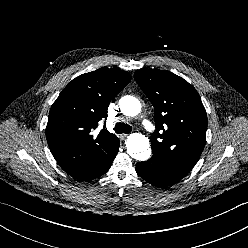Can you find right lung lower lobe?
Here are the masks:
<instances>
[{"label": "right lung lower lobe", "mask_w": 248, "mask_h": 248, "mask_svg": "<svg viewBox=\"0 0 248 248\" xmlns=\"http://www.w3.org/2000/svg\"><path fill=\"white\" fill-rule=\"evenodd\" d=\"M118 148H119V139L116 138L113 142L111 151L109 152L106 159L98 166V168H96L94 171L90 172L86 176L79 177L77 179H80L82 181H88L105 174L109 170L114 158L116 157L118 153Z\"/></svg>", "instance_id": "98d812e1"}]
</instances>
